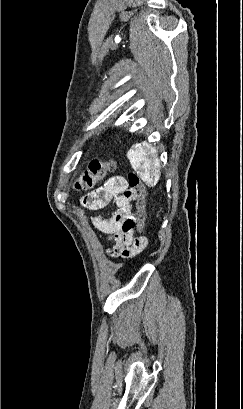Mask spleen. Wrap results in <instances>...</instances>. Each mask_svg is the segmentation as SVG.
<instances>
[{
  "label": "spleen",
  "mask_w": 243,
  "mask_h": 409,
  "mask_svg": "<svg viewBox=\"0 0 243 409\" xmlns=\"http://www.w3.org/2000/svg\"><path fill=\"white\" fill-rule=\"evenodd\" d=\"M127 158L147 186H156L160 179L161 166L156 151L152 153L150 145L146 142L133 145L127 153Z\"/></svg>",
  "instance_id": "3e777b00"
}]
</instances>
